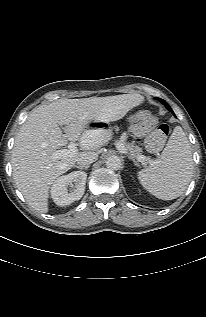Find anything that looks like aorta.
I'll list each match as a JSON object with an SVG mask.
<instances>
[{
  "label": "aorta",
  "instance_id": "obj_1",
  "mask_svg": "<svg viewBox=\"0 0 206 317\" xmlns=\"http://www.w3.org/2000/svg\"><path fill=\"white\" fill-rule=\"evenodd\" d=\"M105 163L107 168L111 170H118L121 167V160L117 155H110Z\"/></svg>",
  "mask_w": 206,
  "mask_h": 317
}]
</instances>
